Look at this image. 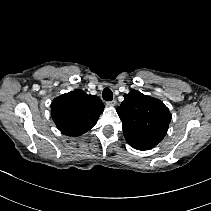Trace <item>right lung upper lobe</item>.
<instances>
[{"mask_svg":"<svg viewBox=\"0 0 211 211\" xmlns=\"http://www.w3.org/2000/svg\"><path fill=\"white\" fill-rule=\"evenodd\" d=\"M103 109L104 104L99 97L75 90L52 101L51 116L62 133L79 136L96 124Z\"/></svg>","mask_w":211,"mask_h":211,"instance_id":"cb5924a9","label":"right lung upper lobe"}]
</instances>
